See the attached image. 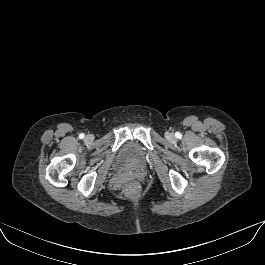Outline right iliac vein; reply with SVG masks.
Wrapping results in <instances>:
<instances>
[{
    "instance_id": "1",
    "label": "right iliac vein",
    "mask_w": 265,
    "mask_h": 265,
    "mask_svg": "<svg viewBox=\"0 0 265 265\" xmlns=\"http://www.w3.org/2000/svg\"><path fill=\"white\" fill-rule=\"evenodd\" d=\"M85 139H86V141H92V135H87L86 137H85Z\"/></svg>"
}]
</instances>
